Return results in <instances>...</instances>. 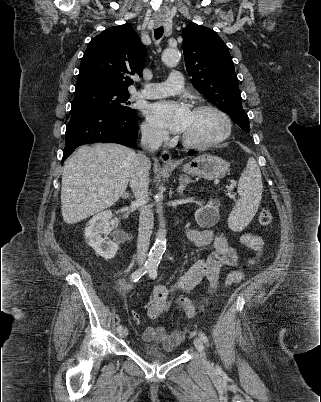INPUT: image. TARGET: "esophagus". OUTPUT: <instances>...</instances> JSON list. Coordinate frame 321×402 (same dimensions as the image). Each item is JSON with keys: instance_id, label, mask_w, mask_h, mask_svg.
I'll return each mask as SVG.
<instances>
[{"instance_id": "obj_1", "label": "esophagus", "mask_w": 321, "mask_h": 402, "mask_svg": "<svg viewBox=\"0 0 321 402\" xmlns=\"http://www.w3.org/2000/svg\"><path fill=\"white\" fill-rule=\"evenodd\" d=\"M160 158L162 162L166 165H173L177 163L175 160L172 159V156L168 150H163L161 152Z\"/></svg>"}]
</instances>
